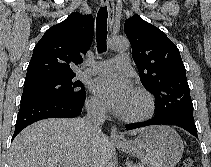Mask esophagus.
Listing matches in <instances>:
<instances>
[{"label": "esophagus", "instance_id": "esophagus-1", "mask_svg": "<svg viewBox=\"0 0 211 167\" xmlns=\"http://www.w3.org/2000/svg\"><path fill=\"white\" fill-rule=\"evenodd\" d=\"M101 4L108 8V13H109L108 26L109 29L111 30L114 22V2L113 0H101ZM110 138L112 141H123V137L118 132L116 126H112L110 132Z\"/></svg>", "mask_w": 211, "mask_h": 167}]
</instances>
